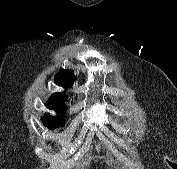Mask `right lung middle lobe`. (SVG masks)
Wrapping results in <instances>:
<instances>
[{
	"label": "right lung middle lobe",
	"instance_id": "right-lung-middle-lobe-1",
	"mask_svg": "<svg viewBox=\"0 0 177 169\" xmlns=\"http://www.w3.org/2000/svg\"><path fill=\"white\" fill-rule=\"evenodd\" d=\"M49 109H53L56 112H64L65 111V105H59L57 107H49ZM43 124L47 126L49 129H55L57 126L62 125V119H55L53 117H44L42 119Z\"/></svg>",
	"mask_w": 177,
	"mask_h": 169
}]
</instances>
